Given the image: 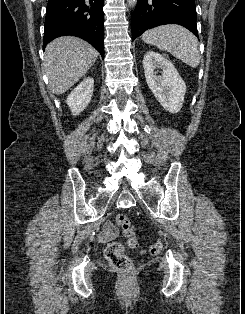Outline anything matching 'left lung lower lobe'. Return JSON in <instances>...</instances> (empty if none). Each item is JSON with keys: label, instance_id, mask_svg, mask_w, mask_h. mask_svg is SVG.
Wrapping results in <instances>:
<instances>
[{"label": "left lung lower lobe", "instance_id": "0a47b994", "mask_svg": "<svg viewBox=\"0 0 245 314\" xmlns=\"http://www.w3.org/2000/svg\"><path fill=\"white\" fill-rule=\"evenodd\" d=\"M179 24L198 37L195 0H138L132 13V39L149 28Z\"/></svg>", "mask_w": 245, "mask_h": 314}]
</instances>
